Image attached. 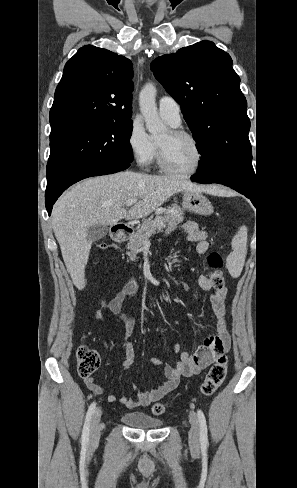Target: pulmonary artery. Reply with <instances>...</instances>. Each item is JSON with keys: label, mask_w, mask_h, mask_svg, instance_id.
<instances>
[{"label": "pulmonary artery", "mask_w": 297, "mask_h": 488, "mask_svg": "<svg viewBox=\"0 0 297 488\" xmlns=\"http://www.w3.org/2000/svg\"><path fill=\"white\" fill-rule=\"evenodd\" d=\"M180 105L169 96H163L159 100V113L170 125L178 126L181 123Z\"/></svg>", "instance_id": "obj_1"}]
</instances>
